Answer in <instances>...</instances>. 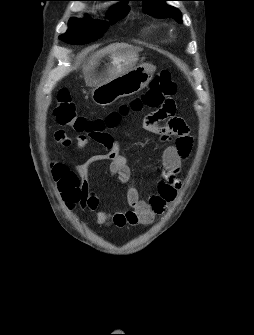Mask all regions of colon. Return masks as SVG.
Wrapping results in <instances>:
<instances>
[{
	"instance_id": "obj_1",
	"label": "colon",
	"mask_w": 254,
	"mask_h": 335,
	"mask_svg": "<svg viewBox=\"0 0 254 335\" xmlns=\"http://www.w3.org/2000/svg\"><path fill=\"white\" fill-rule=\"evenodd\" d=\"M176 93V83L168 70H162L152 80L149 88L139 98L135 99L130 106H122L119 112H112L106 119L90 120L79 114L67 89H61L57 94V103L53 113L60 126L69 128L80 136L96 139L107 145L109 134L107 129L115 127L122 116L130 110L147 108H161L164 98H173ZM157 121V120H156ZM59 169L66 171L65 167L59 165ZM75 200L81 198V191L77 188L73 194Z\"/></svg>"
}]
</instances>
